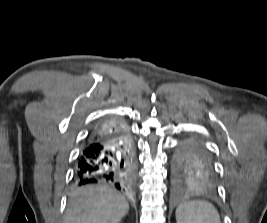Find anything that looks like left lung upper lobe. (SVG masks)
Returning <instances> with one entry per match:
<instances>
[{
  "label": "left lung upper lobe",
  "instance_id": "left-lung-upper-lobe-1",
  "mask_svg": "<svg viewBox=\"0 0 267 223\" xmlns=\"http://www.w3.org/2000/svg\"><path fill=\"white\" fill-rule=\"evenodd\" d=\"M177 171H213V167L198 143L185 141L177 158Z\"/></svg>",
  "mask_w": 267,
  "mask_h": 223
}]
</instances>
